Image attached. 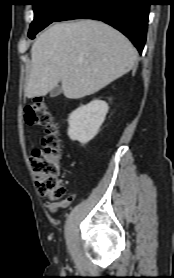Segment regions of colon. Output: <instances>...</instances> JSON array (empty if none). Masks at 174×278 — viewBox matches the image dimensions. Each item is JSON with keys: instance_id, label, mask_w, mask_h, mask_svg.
I'll use <instances>...</instances> for the list:
<instances>
[{"instance_id": "1", "label": "colon", "mask_w": 174, "mask_h": 278, "mask_svg": "<svg viewBox=\"0 0 174 278\" xmlns=\"http://www.w3.org/2000/svg\"><path fill=\"white\" fill-rule=\"evenodd\" d=\"M24 115L28 124L46 129L42 147L35 149L29 159L37 192L48 203L66 202V188L60 179L61 143L52 114L44 100L34 99L25 107Z\"/></svg>"}]
</instances>
